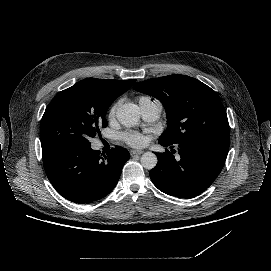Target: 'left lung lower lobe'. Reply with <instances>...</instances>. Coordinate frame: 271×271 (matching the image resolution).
<instances>
[{
  "label": "left lung lower lobe",
  "mask_w": 271,
  "mask_h": 271,
  "mask_svg": "<svg viewBox=\"0 0 271 271\" xmlns=\"http://www.w3.org/2000/svg\"><path fill=\"white\" fill-rule=\"evenodd\" d=\"M164 147L169 144L159 140ZM230 138L200 135L194 142L178 145L180 158L166 149L155 153L157 166L150 171L154 185L162 192L178 198H192L204 192L221 172L229 150Z\"/></svg>",
  "instance_id": "left-lung-lower-lobe-1"
}]
</instances>
